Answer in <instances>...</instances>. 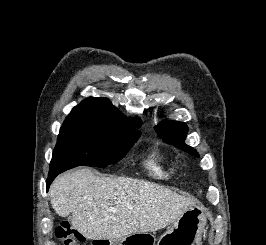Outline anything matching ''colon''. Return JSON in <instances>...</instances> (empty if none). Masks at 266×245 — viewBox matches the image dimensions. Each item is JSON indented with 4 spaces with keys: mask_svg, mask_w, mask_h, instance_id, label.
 <instances>
[{
    "mask_svg": "<svg viewBox=\"0 0 266 245\" xmlns=\"http://www.w3.org/2000/svg\"><path fill=\"white\" fill-rule=\"evenodd\" d=\"M56 233L63 245H83L85 242L84 236L71 228L68 221H63L57 228Z\"/></svg>",
    "mask_w": 266,
    "mask_h": 245,
    "instance_id": "obj_1",
    "label": "colon"
}]
</instances>
